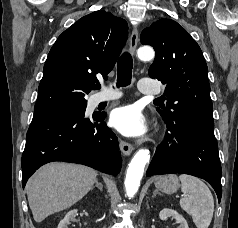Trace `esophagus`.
I'll return each instance as SVG.
<instances>
[{"label":"esophagus","instance_id":"esophagus-1","mask_svg":"<svg viewBox=\"0 0 238 228\" xmlns=\"http://www.w3.org/2000/svg\"><path fill=\"white\" fill-rule=\"evenodd\" d=\"M137 43H138V30L137 27L135 26L132 30L129 39V50L132 55L135 54ZM119 145L122 153L126 156L130 155L134 149L132 144L123 140H120Z\"/></svg>","mask_w":238,"mask_h":228}]
</instances>
